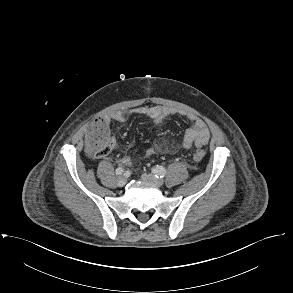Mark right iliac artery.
I'll list each match as a JSON object with an SVG mask.
<instances>
[{"mask_svg": "<svg viewBox=\"0 0 293 293\" xmlns=\"http://www.w3.org/2000/svg\"><path fill=\"white\" fill-rule=\"evenodd\" d=\"M124 172V168L123 167H118L115 171L116 175H121Z\"/></svg>", "mask_w": 293, "mask_h": 293, "instance_id": "obj_1", "label": "right iliac artery"}]
</instances>
